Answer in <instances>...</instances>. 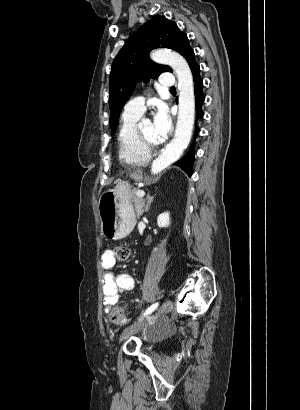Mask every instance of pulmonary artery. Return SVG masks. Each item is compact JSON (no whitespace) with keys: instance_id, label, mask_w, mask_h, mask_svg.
<instances>
[{"instance_id":"obj_1","label":"pulmonary artery","mask_w":300,"mask_h":410,"mask_svg":"<svg viewBox=\"0 0 300 410\" xmlns=\"http://www.w3.org/2000/svg\"><path fill=\"white\" fill-rule=\"evenodd\" d=\"M159 83L162 87H173L175 84L174 77L169 73H162L159 76ZM145 110L144 97H135L127 102L125 111L142 114Z\"/></svg>"}]
</instances>
